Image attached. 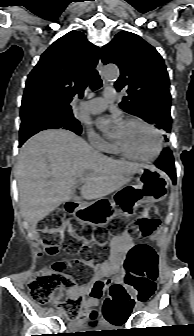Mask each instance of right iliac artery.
<instances>
[{
	"instance_id": "obj_1",
	"label": "right iliac artery",
	"mask_w": 194,
	"mask_h": 336,
	"mask_svg": "<svg viewBox=\"0 0 194 336\" xmlns=\"http://www.w3.org/2000/svg\"><path fill=\"white\" fill-rule=\"evenodd\" d=\"M61 310V308H58V312Z\"/></svg>"
}]
</instances>
